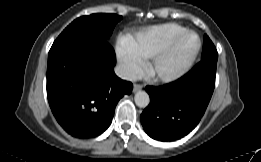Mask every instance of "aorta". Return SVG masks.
Segmentation results:
<instances>
[{
	"mask_svg": "<svg viewBox=\"0 0 261 162\" xmlns=\"http://www.w3.org/2000/svg\"><path fill=\"white\" fill-rule=\"evenodd\" d=\"M135 104L140 108H145L150 102V98L147 92L138 91L134 96Z\"/></svg>",
	"mask_w": 261,
	"mask_h": 162,
	"instance_id": "obj_1",
	"label": "aorta"
}]
</instances>
